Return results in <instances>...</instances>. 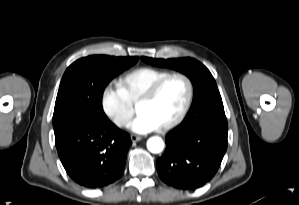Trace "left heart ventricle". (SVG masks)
Returning <instances> with one entry per match:
<instances>
[{"mask_svg":"<svg viewBox=\"0 0 299 205\" xmlns=\"http://www.w3.org/2000/svg\"><path fill=\"white\" fill-rule=\"evenodd\" d=\"M186 95L185 82L180 78H172L163 85L150 102L140 105L138 112L149 115L160 127L177 116Z\"/></svg>","mask_w":299,"mask_h":205,"instance_id":"1","label":"left heart ventricle"}]
</instances>
